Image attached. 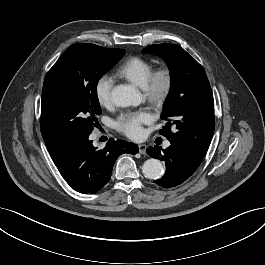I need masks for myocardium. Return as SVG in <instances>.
<instances>
[{
    "instance_id": "1",
    "label": "myocardium",
    "mask_w": 265,
    "mask_h": 265,
    "mask_svg": "<svg viewBox=\"0 0 265 265\" xmlns=\"http://www.w3.org/2000/svg\"><path fill=\"white\" fill-rule=\"evenodd\" d=\"M174 88V74L169 67H160L151 73L143 96L155 107L163 106L170 98Z\"/></svg>"
}]
</instances>
